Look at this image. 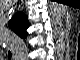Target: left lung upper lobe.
Here are the masks:
<instances>
[{
	"mask_svg": "<svg viewBox=\"0 0 80 60\" xmlns=\"http://www.w3.org/2000/svg\"><path fill=\"white\" fill-rule=\"evenodd\" d=\"M9 26L20 37L26 38V29L29 27V22L22 12H19L14 15V17L9 22Z\"/></svg>",
	"mask_w": 80,
	"mask_h": 60,
	"instance_id": "5c2ea615",
	"label": "left lung upper lobe"
}]
</instances>
